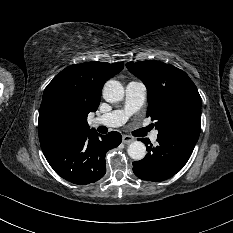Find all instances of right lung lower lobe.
I'll use <instances>...</instances> for the list:
<instances>
[{"mask_svg": "<svg viewBox=\"0 0 233 233\" xmlns=\"http://www.w3.org/2000/svg\"><path fill=\"white\" fill-rule=\"evenodd\" d=\"M122 141L118 132L99 135L93 129L40 139L45 158L65 180L78 185L94 183L106 173L105 155Z\"/></svg>", "mask_w": 233, "mask_h": 233, "instance_id": "obj_1", "label": "right lung lower lobe"}]
</instances>
